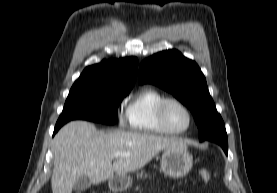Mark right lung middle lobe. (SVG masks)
I'll return each mask as SVG.
<instances>
[{"instance_id": "1", "label": "right lung middle lobe", "mask_w": 277, "mask_h": 193, "mask_svg": "<svg viewBox=\"0 0 277 193\" xmlns=\"http://www.w3.org/2000/svg\"><path fill=\"white\" fill-rule=\"evenodd\" d=\"M128 91L71 89L57 123L82 119L104 124L117 121V109Z\"/></svg>"}]
</instances>
